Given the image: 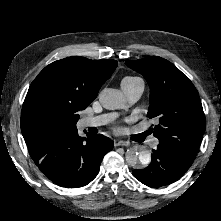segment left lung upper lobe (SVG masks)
I'll return each instance as SVG.
<instances>
[{"label": "left lung upper lobe", "mask_w": 221, "mask_h": 221, "mask_svg": "<svg viewBox=\"0 0 221 221\" xmlns=\"http://www.w3.org/2000/svg\"><path fill=\"white\" fill-rule=\"evenodd\" d=\"M150 86L149 118L159 145L194 160L206 128L201 100L192 82L171 62L158 56L127 61Z\"/></svg>", "instance_id": "5c2ea615"}]
</instances>
